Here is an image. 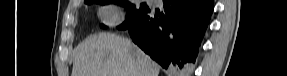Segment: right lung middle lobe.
I'll return each instance as SVG.
<instances>
[{"label":"right lung middle lobe","instance_id":"dd1d6c3e","mask_svg":"<svg viewBox=\"0 0 287 76\" xmlns=\"http://www.w3.org/2000/svg\"><path fill=\"white\" fill-rule=\"evenodd\" d=\"M99 3L101 5L105 4H110V3H115L121 6H124L127 14H126V19L123 24L118 26L119 30H125L129 26H131L137 19L145 15L148 11V6L145 3L140 4V7H136L134 4L128 2L127 0H88L85 3ZM101 28H106L105 25H101Z\"/></svg>","mask_w":287,"mask_h":76}]
</instances>
